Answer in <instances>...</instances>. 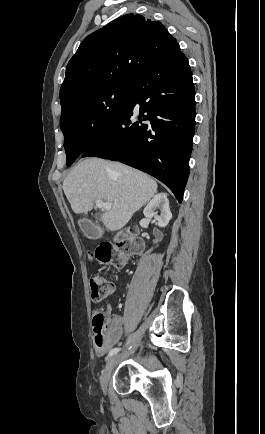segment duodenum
I'll list each match as a JSON object with an SVG mask.
<instances>
[{
  "mask_svg": "<svg viewBox=\"0 0 265 434\" xmlns=\"http://www.w3.org/2000/svg\"><path fill=\"white\" fill-rule=\"evenodd\" d=\"M126 230H132V229H126ZM126 230H124L122 233H126Z\"/></svg>",
  "mask_w": 265,
  "mask_h": 434,
  "instance_id": "410a0bca",
  "label": "duodenum"
}]
</instances>
